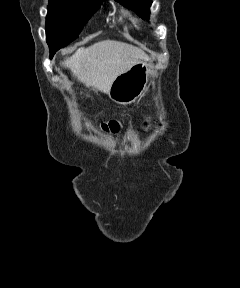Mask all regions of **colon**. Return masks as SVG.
<instances>
[{
	"mask_svg": "<svg viewBox=\"0 0 240 288\" xmlns=\"http://www.w3.org/2000/svg\"><path fill=\"white\" fill-rule=\"evenodd\" d=\"M119 128L120 123L116 120H110L102 124V129L105 130L106 132L115 133L119 130Z\"/></svg>",
	"mask_w": 240,
	"mask_h": 288,
	"instance_id": "obj_1",
	"label": "colon"
}]
</instances>
